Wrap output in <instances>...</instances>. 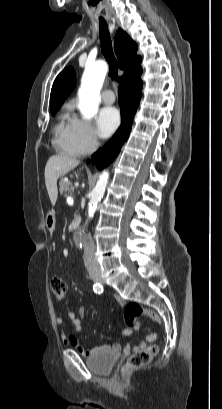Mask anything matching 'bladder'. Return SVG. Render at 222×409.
<instances>
[{
  "mask_svg": "<svg viewBox=\"0 0 222 409\" xmlns=\"http://www.w3.org/2000/svg\"><path fill=\"white\" fill-rule=\"evenodd\" d=\"M119 359V354L115 350H106L96 355L90 356L86 360V365L96 374H108Z\"/></svg>",
  "mask_w": 222,
  "mask_h": 409,
  "instance_id": "31cf9c89",
  "label": "bladder"
}]
</instances>
